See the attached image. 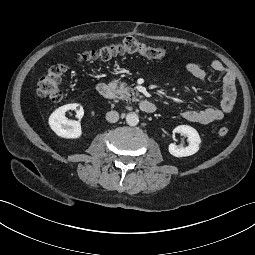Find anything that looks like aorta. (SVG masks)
Segmentation results:
<instances>
[{"label":"aorta","instance_id":"1","mask_svg":"<svg viewBox=\"0 0 255 255\" xmlns=\"http://www.w3.org/2000/svg\"><path fill=\"white\" fill-rule=\"evenodd\" d=\"M126 122L130 126H136L139 123V117L136 113H128L126 116Z\"/></svg>","mask_w":255,"mask_h":255}]
</instances>
